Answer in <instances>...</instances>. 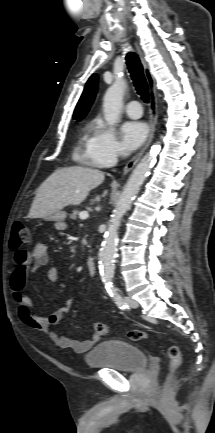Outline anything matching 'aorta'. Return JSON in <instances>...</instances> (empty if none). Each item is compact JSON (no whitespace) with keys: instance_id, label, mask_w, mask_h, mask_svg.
<instances>
[{"instance_id":"762f6f07","label":"aorta","mask_w":215,"mask_h":433,"mask_svg":"<svg viewBox=\"0 0 215 433\" xmlns=\"http://www.w3.org/2000/svg\"><path fill=\"white\" fill-rule=\"evenodd\" d=\"M127 84L123 79H116L107 89L103 98L104 119L108 125H116L121 117L123 108V96ZM160 150V142H157L151 150L141 159L133 170L123 191L118 199L117 205L110 218L108 229L100 249V273L102 281L107 287H111L114 275V259L117 253L118 229L121 219L129 210L131 203L156 162Z\"/></svg>"}]
</instances>
